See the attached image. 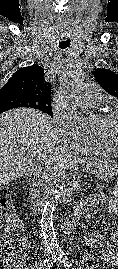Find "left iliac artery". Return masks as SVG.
<instances>
[{
    "mask_svg": "<svg viewBox=\"0 0 118 269\" xmlns=\"http://www.w3.org/2000/svg\"><path fill=\"white\" fill-rule=\"evenodd\" d=\"M58 260L67 268L72 266L69 258L64 253L58 254Z\"/></svg>",
    "mask_w": 118,
    "mask_h": 269,
    "instance_id": "left-iliac-artery-1",
    "label": "left iliac artery"
}]
</instances>
